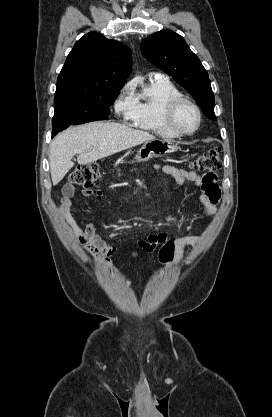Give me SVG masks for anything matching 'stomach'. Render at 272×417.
Segmentation results:
<instances>
[{"label": "stomach", "instance_id": "1", "mask_svg": "<svg viewBox=\"0 0 272 417\" xmlns=\"http://www.w3.org/2000/svg\"><path fill=\"white\" fill-rule=\"evenodd\" d=\"M177 146L162 139H152L144 142L142 147L138 150L135 160L138 162H146L168 153L175 152Z\"/></svg>", "mask_w": 272, "mask_h": 417}]
</instances>
